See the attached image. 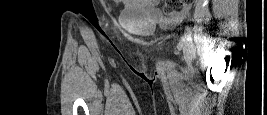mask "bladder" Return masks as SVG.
I'll return each instance as SVG.
<instances>
[{"label":"bladder","mask_w":267,"mask_h":115,"mask_svg":"<svg viewBox=\"0 0 267 115\" xmlns=\"http://www.w3.org/2000/svg\"><path fill=\"white\" fill-rule=\"evenodd\" d=\"M125 28L134 34L141 36L150 35L154 31V27L151 25H125Z\"/></svg>","instance_id":"31cf9c89"}]
</instances>
